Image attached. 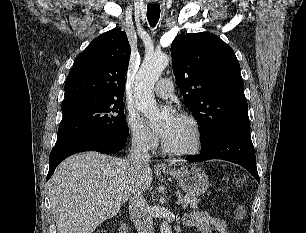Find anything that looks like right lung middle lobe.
Wrapping results in <instances>:
<instances>
[{
    "label": "right lung middle lobe",
    "mask_w": 306,
    "mask_h": 233,
    "mask_svg": "<svg viewBox=\"0 0 306 233\" xmlns=\"http://www.w3.org/2000/svg\"><path fill=\"white\" fill-rule=\"evenodd\" d=\"M63 118L55 145L85 135L127 137L122 99L80 98L62 104Z\"/></svg>",
    "instance_id": "right-lung-middle-lobe-1"
}]
</instances>
